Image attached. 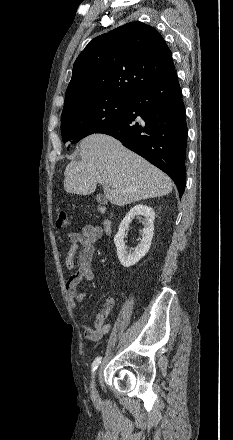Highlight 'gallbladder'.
I'll list each match as a JSON object with an SVG mask.
<instances>
[{"label":"gallbladder","instance_id":"obj_1","mask_svg":"<svg viewBox=\"0 0 233 440\" xmlns=\"http://www.w3.org/2000/svg\"><path fill=\"white\" fill-rule=\"evenodd\" d=\"M95 199H96V201H97L99 204H105V203H107V199H106V197L103 196V195H101V194H98V195L95 197Z\"/></svg>","mask_w":233,"mask_h":440}]
</instances>
